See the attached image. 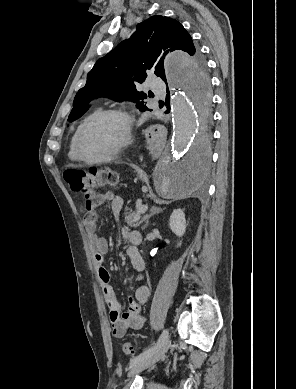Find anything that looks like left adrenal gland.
<instances>
[{
    "mask_svg": "<svg viewBox=\"0 0 296 389\" xmlns=\"http://www.w3.org/2000/svg\"><path fill=\"white\" fill-rule=\"evenodd\" d=\"M162 212V209L159 208V207H156V206H152L150 208V214L146 216V221H145V225L143 226L142 230H144L145 228H147L148 226V223H149V219L154 216L155 214H158Z\"/></svg>",
    "mask_w": 296,
    "mask_h": 389,
    "instance_id": "obj_1",
    "label": "left adrenal gland"
}]
</instances>
